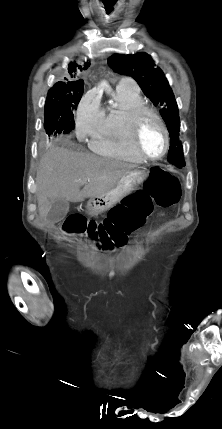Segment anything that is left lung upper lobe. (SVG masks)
Listing matches in <instances>:
<instances>
[{
  "label": "left lung upper lobe",
  "mask_w": 222,
  "mask_h": 429,
  "mask_svg": "<svg viewBox=\"0 0 222 429\" xmlns=\"http://www.w3.org/2000/svg\"><path fill=\"white\" fill-rule=\"evenodd\" d=\"M108 64L114 72L134 78L153 104L162 108L160 114L170 135L167 159L175 166H185L183 147L179 140L178 106L162 70L157 68L152 58L144 52L133 55L114 54Z\"/></svg>",
  "instance_id": "1"
}]
</instances>
